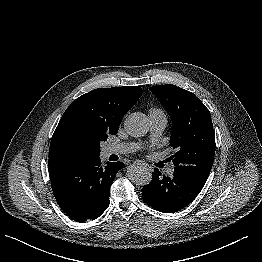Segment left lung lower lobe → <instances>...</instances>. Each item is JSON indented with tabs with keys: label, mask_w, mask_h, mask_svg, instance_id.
<instances>
[{
	"label": "left lung lower lobe",
	"mask_w": 262,
	"mask_h": 262,
	"mask_svg": "<svg viewBox=\"0 0 262 262\" xmlns=\"http://www.w3.org/2000/svg\"><path fill=\"white\" fill-rule=\"evenodd\" d=\"M207 178L174 169L171 177L152 173V181L142 189L143 200L154 209L174 213L189 205L200 193Z\"/></svg>",
	"instance_id": "0a47b994"
}]
</instances>
